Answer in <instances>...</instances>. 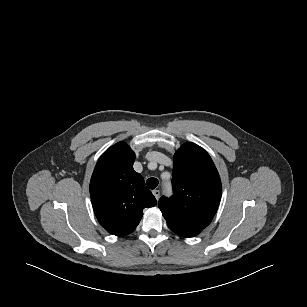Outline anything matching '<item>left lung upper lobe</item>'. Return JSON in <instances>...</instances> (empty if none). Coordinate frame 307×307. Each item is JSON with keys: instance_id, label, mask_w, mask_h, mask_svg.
I'll use <instances>...</instances> for the list:
<instances>
[{"instance_id": "5c2ea615", "label": "left lung upper lobe", "mask_w": 307, "mask_h": 307, "mask_svg": "<svg viewBox=\"0 0 307 307\" xmlns=\"http://www.w3.org/2000/svg\"><path fill=\"white\" fill-rule=\"evenodd\" d=\"M173 192L161 197L159 208L169 228L183 237L199 234L213 219L220 202L221 180L200 146L184 144L173 158Z\"/></svg>"}]
</instances>
